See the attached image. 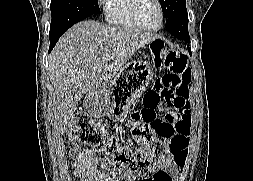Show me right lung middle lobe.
Listing matches in <instances>:
<instances>
[{
    "label": "right lung middle lobe",
    "mask_w": 253,
    "mask_h": 181,
    "mask_svg": "<svg viewBox=\"0 0 253 181\" xmlns=\"http://www.w3.org/2000/svg\"><path fill=\"white\" fill-rule=\"evenodd\" d=\"M50 36L66 31L84 18L100 13L97 0H51Z\"/></svg>",
    "instance_id": "obj_1"
}]
</instances>
